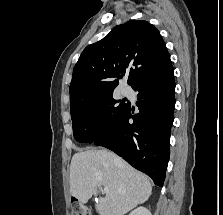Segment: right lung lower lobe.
I'll list each match as a JSON object with an SVG mask.
<instances>
[{"label":"right lung lower lobe","mask_w":223,"mask_h":215,"mask_svg":"<svg viewBox=\"0 0 223 215\" xmlns=\"http://www.w3.org/2000/svg\"><path fill=\"white\" fill-rule=\"evenodd\" d=\"M138 91V114H131L129 103L119 123L94 142L125 159L134 168L163 186L170 156V128L175 106L173 70L161 78L146 81L133 88ZM132 118L134 122L129 123Z\"/></svg>","instance_id":"98d812e1"}]
</instances>
